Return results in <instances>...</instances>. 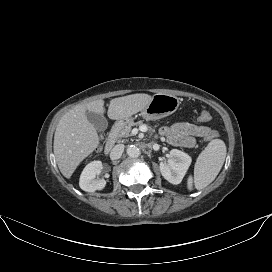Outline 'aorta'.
<instances>
[{
	"label": "aorta",
	"mask_w": 272,
	"mask_h": 272,
	"mask_svg": "<svg viewBox=\"0 0 272 272\" xmlns=\"http://www.w3.org/2000/svg\"><path fill=\"white\" fill-rule=\"evenodd\" d=\"M127 154L128 156L132 157V158H137L140 156V150L137 146L135 145H130L127 148Z\"/></svg>",
	"instance_id": "1"
}]
</instances>
